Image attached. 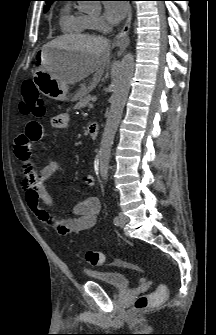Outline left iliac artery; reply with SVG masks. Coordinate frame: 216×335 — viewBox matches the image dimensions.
<instances>
[{
	"label": "left iliac artery",
	"instance_id": "1",
	"mask_svg": "<svg viewBox=\"0 0 216 335\" xmlns=\"http://www.w3.org/2000/svg\"><path fill=\"white\" fill-rule=\"evenodd\" d=\"M113 222H114V224H117V223L119 222V217H118V216H115V217L113 218Z\"/></svg>",
	"mask_w": 216,
	"mask_h": 335
}]
</instances>
